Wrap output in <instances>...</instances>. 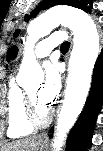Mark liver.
Masks as SVG:
<instances>
[{
  "instance_id": "1",
  "label": "liver",
  "mask_w": 103,
  "mask_h": 151,
  "mask_svg": "<svg viewBox=\"0 0 103 151\" xmlns=\"http://www.w3.org/2000/svg\"><path fill=\"white\" fill-rule=\"evenodd\" d=\"M37 137L32 136L25 139L16 140L1 146L0 151H36Z\"/></svg>"
}]
</instances>
